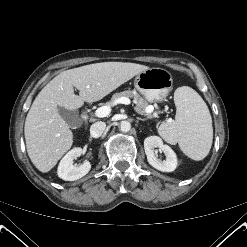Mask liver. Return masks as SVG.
I'll return each mask as SVG.
<instances>
[{
    "instance_id": "1",
    "label": "liver",
    "mask_w": 247,
    "mask_h": 247,
    "mask_svg": "<svg viewBox=\"0 0 247 247\" xmlns=\"http://www.w3.org/2000/svg\"><path fill=\"white\" fill-rule=\"evenodd\" d=\"M147 69L136 63L102 62L69 69L53 78L35 98L25 121L26 148L34 166L49 172L73 144V133L58 106L76 110L84 102L99 101Z\"/></svg>"
}]
</instances>
